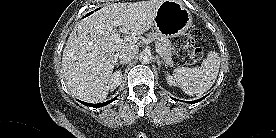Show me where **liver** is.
I'll return each mask as SVG.
<instances>
[{
    "label": "liver",
    "mask_w": 276,
    "mask_h": 138,
    "mask_svg": "<svg viewBox=\"0 0 276 138\" xmlns=\"http://www.w3.org/2000/svg\"><path fill=\"white\" fill-rule=\"evenodd\" d=\"M163 1L108 4L76 24L61 62L63 77L72 95L91 103L106 99L118 53L136 46V36L151 28ZM117 26L130 36L113 40Z\"/></svg>",
    "instance_id": "obj_1"
}]
</instances>
